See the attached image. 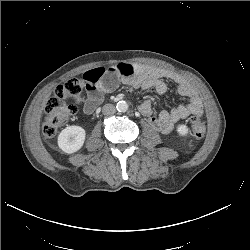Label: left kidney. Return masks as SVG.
<instances>
[{
  "mask_svg": "<svg viewBox=\"0 0 250 250\" xmlns=\"http://www.w3.org/2000/svg\"><path fill=\"white\" fill-rule=\"evenodd\" d=\"M188 131V127L185 124H180L177 126V132L180 136H186Z\"/></svg>",
  "mask_w": 250,
  "mask_h": 250,
  "instance_id": "1",
  "label": "left kidney"
}]
</instances>
